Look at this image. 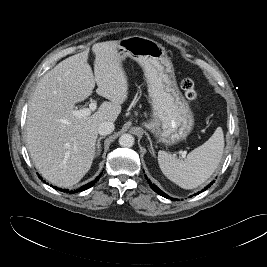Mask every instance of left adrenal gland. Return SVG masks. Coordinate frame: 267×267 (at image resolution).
Masks as SVG:
<instances>
[{"mask_svg": "<svg viewBox=\"0 0 267 267\" xmlns=\"http://www.w3.org/2000/svg\"><path fill=\"white\" fill-rule=\"evenodd\" d=\"M146 135H147V138H148L149 143H150V152L153 154V156H155V151H154V148L152 146V141H151L149 135L148 134H146Z\"/></svg>", "mask_w": 267, "mask_h": 267, "instance_id": "left-adrenal-gland-1", "label": "left adrenal gland"}]
</instances>
